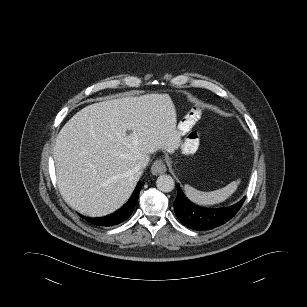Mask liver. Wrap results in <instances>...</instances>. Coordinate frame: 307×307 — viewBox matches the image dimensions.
<instances>
[{
  "label": "liver",
  "instance_id": "1",
  "mask_svg": "<svg viewBox=\"0 0 307 307\" xmlns=\"http://www.w3.org/2000/svg\"><path fill=\"white\" fill-rule=\"evenodd\" d=\"M168 94L94 103L60 130L54 147L57 183L65 202L81 214L102 217L131 196L142 171L137 163L181 144Z\"/></svg>",
  "mask_w": 307,
  "mask_h": 307
}]
</instances>
